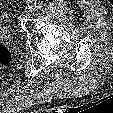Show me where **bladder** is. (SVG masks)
Listing matches in <instances>:
<instances>
[{
    "label": "bladder",
    "mask_w": 113,
    "mask_h": 113,
    "mask_svg": "<svg viewBox=\"0 0 113 113\" xmlns=\"http://www.w3.org/2000/svg\"><path fill=\"white\" fill-rule=\"evenodd\" d=\"M7 27L4 24V16L0 14V37L6 35Z\"/></svg>",
    "instance_id": "31cf9c89"
}]
</instances>
